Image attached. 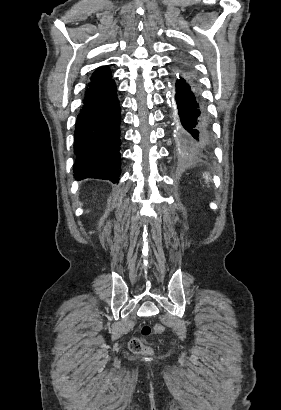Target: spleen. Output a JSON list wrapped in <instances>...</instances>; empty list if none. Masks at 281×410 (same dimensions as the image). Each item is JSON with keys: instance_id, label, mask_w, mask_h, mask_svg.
Here are the masks:
<instances>
[{"instance_id": "1", "label": "spleen", "mask_w": 281, "mask_h": 410, "mask_svg": "<svg viewBox=\"0 0 281 410\" xmlns=\"http://www.w3.org/2000/svg\"><path fill=\"white\" fill-rule=\"evenodd\" d=\"M203 177H204V179H205L206 183H207V182H209V180H210V176H209V174H208V173H204V174H203Z\"/></svg>"}]
</instances>
